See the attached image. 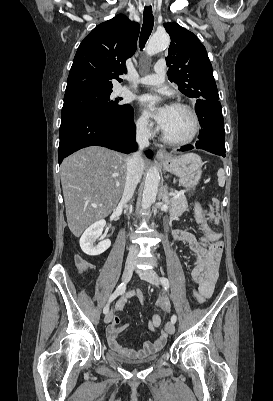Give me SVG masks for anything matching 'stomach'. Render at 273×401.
<instances>
[{
	"instance_id": "stomach-1",
	"label": "stomach",
	"mask_w": 273,
	"mask_h": 401,
	"mask_svg": "<svg viewBox=\"0 0 273 401\" xmlns=\"http://www.w3.org/2000/svg\"><path fill=\"white\" fill-rule=\"evenodd\" d=\"M167 154V158H158L165 170L179 176L181 186H185L187 190H195L202 174L201 156L195 152H187L180 156H173L169 152Z\"/></svg>"
}]
</instances>
